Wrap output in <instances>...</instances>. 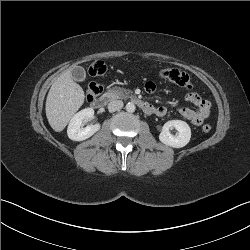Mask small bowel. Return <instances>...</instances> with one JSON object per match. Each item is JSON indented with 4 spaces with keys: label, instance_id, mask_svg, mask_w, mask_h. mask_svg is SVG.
Instances as JSON below:
<instances>
[{
    "label": "small bowel",
    "instance_id": "1",
    "mask_svg": "<svg viewBox=\"0 0 250 250\" xmlns=\"http://www.w3.org/2000/svg\"><path fill=\"white\" fill-rule=\"evenodd\" d=\"M145 90L148 93L155 91V84L153 82H147L145 84ZM185 100L194 104L197 109H190L186 107H177L176 111L183 116L185 119L189 120L194 125H201L210 115L211 103L203 98H201L195 92H189L185 95ZM168 107L160 106L156 108V115L163 117L167 114Z\"/></svg>",
    "mask_w": 250,
    "mask_h": 250
}]
</instances>
